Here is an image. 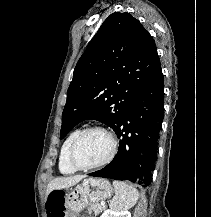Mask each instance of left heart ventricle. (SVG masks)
<instances>
[{
    "mask_svg": "<svg viewBox=\"0 0 211 217\" xmlns=\"http://www.w3.org/2000/svg\"><path fill=\"white\" fill-rule=\"evenodd\" d=\"M111 149L109 137L100 131L87 133L76 149V160L81 165H92L105 159Z\"/></svg>",
    "mask_w": 211,
    "mask_h": 217,
    "instance_id": "1",
    "label": "left heart ventricle"
}]
</instances>
